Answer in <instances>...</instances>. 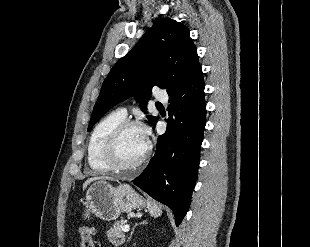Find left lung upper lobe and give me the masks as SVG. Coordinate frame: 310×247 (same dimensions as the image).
<instances>
[{"mask_svg": "<svg viewBox=\"0 0 310 247\" xmlns=\"http://www.w3.org/2000/svg\"><path fill=\"white\" fill-rule=\"evenodd\" d=\"M199 67L197 49L188 28L170 18L158 19L103 82L88 130L114 105L130 96L145 110L153 86L172 92ZM151 124L157 117L148 116Z\"/></svg>", "mask_w": 310, "mask_h": 247, "instance_id": "left-lung-upper-lobe-1", "label": "left lung upper lobe"}]
</instances>
